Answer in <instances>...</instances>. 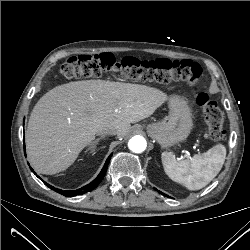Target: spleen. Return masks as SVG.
I'll list each match as a JSON object with an SVG mask.
<instances>
[{"mask_svg": "<svg viewBox=\"0 0 250 250\" xmlns=\"http://www.w3.org/2000/svg\"><path fill=\"white\" fill-rule=\"evenodd\" d=\"M226 157L222 144L214 146L203 155L195 154L190 160H180L170 152L161 155L165 173L173 181L189 190H199L220 172Z\"/></svg>", "mask_w": 250, "mask_h": 250, "instance_id": "spleen-1", "label": "spleen"}]
</instances>
